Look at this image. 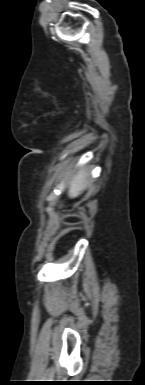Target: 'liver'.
Listing matches in <instances>:
<instances>
[{"label":"liver","instance_id":"1","mask_svg":"<svg viewBox=\"0 0 145 385\" xmlns=\"http://www.w3.org/2000/svg\"><path fill=\"white\" fill-rule=\"evenodd\" d=\"M88 174L84 169L80 170L70 181L68 195L70 198L79 196L88 186Z\"/></svg>","mask_w":145,"mask_h":385}]
</instances>
